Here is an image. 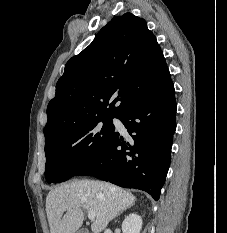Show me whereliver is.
Listing matches in <instances>:
<instances>
[{"instance_id":"1","label":"liver","mask_w":227,"mask_h":233,"mask_svg":"<svg viewBox=\"0 0 227 233\" xmlns=\"http://www.w3.org/2000/svg\"><path fill=\"white\" fill-rule=\"evenodd\" d=\"M135 200L132 193L106 182L76 180L63 184L51 190L46 198L50 233H75L83 224L82 209L95 213L91 231L100 233Z\"/></svg>"}]
</instances>
